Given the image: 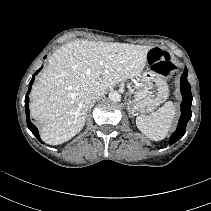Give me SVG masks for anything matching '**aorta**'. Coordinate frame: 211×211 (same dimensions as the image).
I'll list each match as a JSON object with an SVG mask.
<instances>
[{"label":"aorta","mask_w":211,"mask_h":211,"mask_svg":"<svg viewBox=\"0 0 211 211\" xmlns=\"http://www.w3.org/2000/svg\"><path fill=\"white\" fill-rule=\"evenodd\" d=\"M109 99L114 102H119L121 100V95L117 91H111L109 93Z\"/></svg>","instance_id":"762f6f07"}]
</instances>
